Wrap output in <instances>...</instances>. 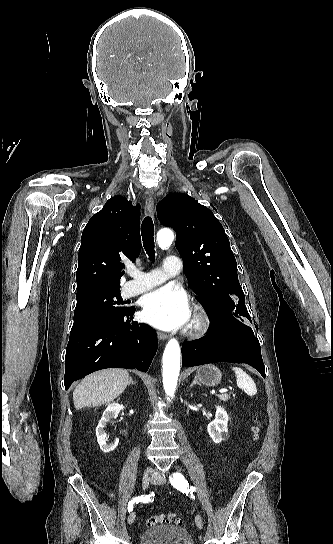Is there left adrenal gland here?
I'll use <instances>...</instances> for the list:
<instances>
[{
    "label": "left adrenal gland",
    "mask_w": 333,
    "mask_h": 544,
    "mask_svg": "<svg viewBox=\"0 0 333 544\" xmlns=\"http://www.w3.org/2000/svg\"><path fill=\"white\" fill-rule=\"evenodd\" d=\"M195 384L201 385V384L198 382V380H197L196 377H195L194 381L192 382V384L190 385V387H192V386L195 385Z\"/></svg>",
    "instance_id": "obj_1"
}]
</instances>
